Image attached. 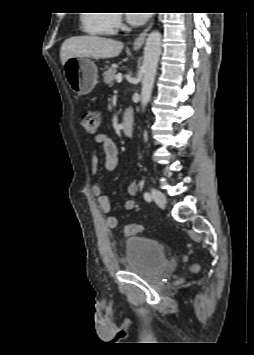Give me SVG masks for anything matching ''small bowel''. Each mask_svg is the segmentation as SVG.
Listing matches in <instances>:
<instances>
[{"mask_svg": "<svg viewBox=\"0 0 254 355\" xmlns=\"http://www.w3.org/2000/svg\"><path fill=\"white\" fill-rule=\"evenodd\" d=\"M95 141L102 147L104 153V168L107 172H112L116 169L119 161V150L117 144L113 139L106 133H99ZM91 172L96 174L98 172L99 166V155L98 151L94 150L91 155ZM128 194L130 196H135L137 193V183L133 180L128 186ZM92 194L96 197L98 205L101 211L106 214V225L107 227L114 229L118 226V219L115 216L109 215L111 211V204L109 198L102 193V188L99 184H94L91 188ZM125 208L127 210H132L135 207V202L132 199H129L125 202Z\"/></svg>", "mask_w": 254, "mask_h": 355, "instance_id": "small-bowel-1", "label": "small bowel"}]
</instances>
